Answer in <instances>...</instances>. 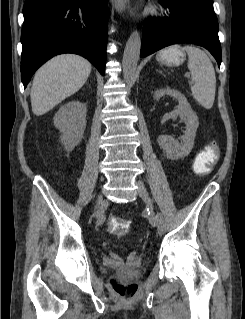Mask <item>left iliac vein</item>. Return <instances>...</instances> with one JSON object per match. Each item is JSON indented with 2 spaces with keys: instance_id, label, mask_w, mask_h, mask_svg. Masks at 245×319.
I'll return each instance as SVG.
<instances>
[{
  "instance_id": "obj_1",
  "label": "left iliac vein",
  "mask_w": 245,
  "mask_h": 319,
  "mask_svg": "<svg viewBox=\"0 0 245 319\" xmlns=\"http://www.w3.org/2000/svg\"><path fill=\"white\" fill-rule=\"evenodd\" d=\"M137 184H138V195L146 203V206L150 212L149 222L152 226H157V215L154 212V208H153V204H152L150 195H149L146 187L144 186V184L141 181H139ZM158 232H159V230H158ZM162 233L163 232H159V234H162Z\"/></svg>"
}]
</instances>
